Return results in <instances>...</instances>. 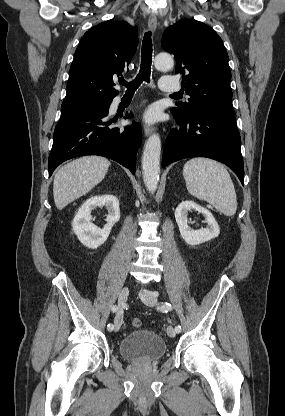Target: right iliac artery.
I'll use <instances>...</instances> for the list:
<instances>
[{
	"label": "right iliac artery",
	"mask_w": 285,
	"mask_h": 416,
	"mask_svg": "<svg viewBox=\"0 0 285 416\" xmlns=\"http://www.w3.org/2000/svg\"><path fill=\"white\" fill-rule=\"evenodd\" d=\"M117 311H118V306H117V305H113V306H112V312H117ZM113 328H114L113 324L109 323V324L107 325V329H108L109 331H112V330H113Z\"/></svg>",
	"instance_id": "1"
}]
</instances>
